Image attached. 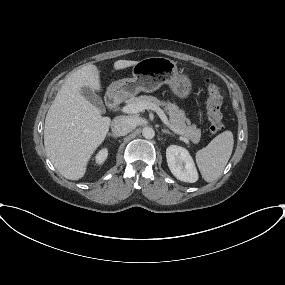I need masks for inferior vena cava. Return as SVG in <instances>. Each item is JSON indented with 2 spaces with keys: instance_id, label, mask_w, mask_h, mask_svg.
I'll return each mask as SVG.
<instances>
[{
  "instance_id": "obj_1",
  "label": "inferior vena cava",
  "mask_w": 285,
  "mask_h": 285,
  "mask_svg": "<svg viewBox=\"0 0 285 285\" xmlns=\"http://www.w3.org/2000/svg\"><path fill=\"white\" fill-rule=\"evenodd\" d=\"M135 127L134 121L128 116H117L111 123V130L115 136H125Z\"/></svg>"
}]
</instances>
